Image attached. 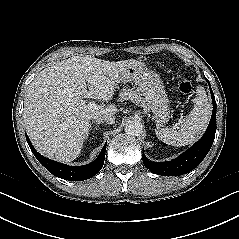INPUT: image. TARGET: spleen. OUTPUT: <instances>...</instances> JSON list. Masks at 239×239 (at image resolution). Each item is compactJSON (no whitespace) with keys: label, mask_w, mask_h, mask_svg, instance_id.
Instances as JSON below:
<instances>
[{"label":"spleen","mask_w":239,"mask_h":239,"mask_svg":"<svg viewBox=\"0 0 239 239\" xmlns=\"http://www.w3.org/2000/svg\"><path fill=\"white\" fill-rule=\"evenodd\" d=\"M211 116V105L203 87L197 88L193 109L182 121L181 128H157L156 136L172 146H185L193 143L205 131Z\"/></svg>","instance_id":"1"}]
</instances>
